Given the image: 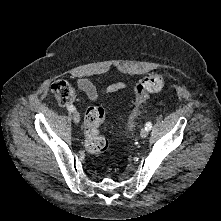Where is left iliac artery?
<instances>
[{
	"mask_svg": "<svg viewBox=\"0 0 221 221\" xmlns=\"http://www.w3.org/2000/svg\"><path fill=\"white\" fill-rule=\"evenodd\" d=\"M145 128H146L147 130H151V128H152V123H151V122H147Z\"/></svg>",
	"mask_w": 221,
	"mask_h": 221,
	"instance_id": "44dca946",
	"label": "left iliac artery"
}]
</instances>
